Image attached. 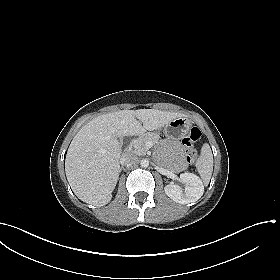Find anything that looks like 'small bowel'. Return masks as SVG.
I'll use <instances>...</instances> for the list:
<instances>
[{
    "mask_svg": "<svg viewBox=\"0 0 280 280\" xmlns=\"http://www.w3.org/2000/svg\"><path fill=\"white\" fill-rule=\"evenodd\" d=\"M175 152L178 154V153H180L181 152V149L178 147V146H175ZM184 165L182 164V163H177L176 165H175V167L177 168V169H180V168H182Z\"/></svg>",
    "mask_w": 280,
    "mask_h": 280,
    "instance_id": "c3829d8e",
    "label": "small bowel"
}]
</instances>
